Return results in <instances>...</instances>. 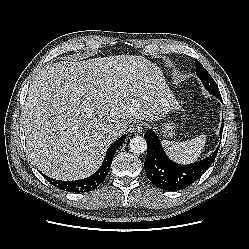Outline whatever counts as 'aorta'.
<instances>
[{"instance_id":"1","label":"aorta","mask_w":249,"mask_h":249,"mask_svg":"<svg viewBox=\"0 0 249 249\" xmlns=\"http://www.w3.org/2000/svg\"><path fill=\"white\" fill-rule=\"evenodd\" d=\"M129 148L132 153L142 154L147 149L146 140L141 136H135L130 140Z\"/></svg>"}]
</instances>
